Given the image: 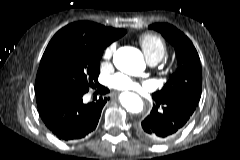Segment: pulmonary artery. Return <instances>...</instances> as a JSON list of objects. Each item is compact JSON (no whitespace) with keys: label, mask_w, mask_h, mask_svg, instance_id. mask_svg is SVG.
I'll list each match as a JSON object with an SVG mask.
<instances>
[{"label":"pulmonary artery","mask_w":240,"mask_h":160,"mask_svg":"<svg viewBox=\"0 0 240 160\" xmlns=\"http://www.w3.org/2000/svg\"><path fill=\"white\" fill-rule=\"evenodd\" d=\"M148 62H149L150 65H155V64L158 63V60L157 59H150V60H148Z\"/></svg>","instance_id":"pulmonary-artery-1"}]
</instances>
